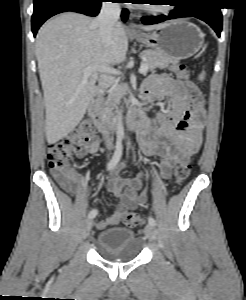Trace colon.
<instances>
[{
	"label": "colon",
	"mask_w": 246,
	"mask_h": 300,
	"mask_svg": "<svg viewBox=\"0 0 246 300\" xmlns=\"http://www.w3.org/2000/svg\"><path fill=\"white\" fill-rule=\"evenodd\" d=\"M173 71L178 79L187 85L188 93L197 112L202 108V95L196 85L189 81V69L185 64H176ZM94 133L93 125L90 121L84 120L62 141L52 144L48 148L47 162L49 169L54 175L61 178H74L76 170L72 166L71 160L74 156L82 153L90 138ZM191 164L188 161L178 164L174 171L175 186L181 185L190 175ZM122 221L129 227L141 226L143 218L136 213H126Z\"/></svg>",
	"instance_id": "1"
}]
</instances>
